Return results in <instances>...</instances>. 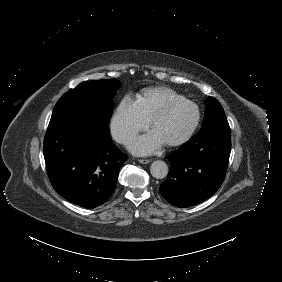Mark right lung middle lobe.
I'll list each match as a JSON object with an SVG mask.
<instances>
[{
  "instance_id": "dd1d6c3e",
  "label": "right lung middle lobe",
  "mask_w": 282,
  "mask_h": 282,
  "mask_svg": "<svg viewBox=\"0 0 282 282\" xmlns=\"http://www.w3.org/2000/svg\"><path fill=\"white\" fill-rule=\"evenodd\" d=\"M120 87L117 79H104L80 83L58 100L51 118L71 109H84L109 123L113 97Z\"/></svg>"
}]
</instances>
